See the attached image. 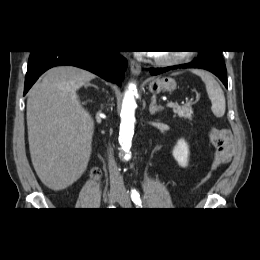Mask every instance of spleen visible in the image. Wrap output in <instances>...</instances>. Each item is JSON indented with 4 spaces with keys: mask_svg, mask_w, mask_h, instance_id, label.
<instances>
[{
    "mask_svg": "<svg viewBox=\"0 0 260 260\" xmlns=\"http://www.w3.org/2000/svg\"><path fill=\"white\" fill-rule=\"evenodd\" d=\"M193 73L200 76L205 83L206 91L211 100V110L216 117H223L225 114L226 103L224 93L218 82L208 72L202 70H193Z\"/></svg>",
    "mask_w": 260,
    "mask_h": 260,
    "instance_id": "spleen-1",
    "label": "spleen"
}]
</instances>
